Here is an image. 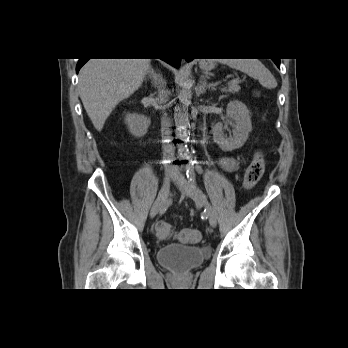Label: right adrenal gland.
I'll use <instances>...</instances> for the list:
<instances>
[{
  "label": "right adrenal gland",
  "mask_w": 348,
  "mask_h": 348,
  "mask_svg": "<svg viewBox=\"0 0 348 348\" xmlns=\"http://www.w3.org/2000/svg\"><path fill=\"white\" fill-rule=\"evenodd\" d=\"M147 77L151 80L152 86L156 88L158 83L160 82L161 75L159 73H156V71L153 69V67H150L147 73Z\"/></svg>",
  "instance_id": "1"
}]
</instances>
